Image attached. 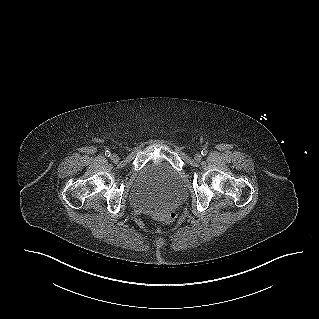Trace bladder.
Returning a JSON list of instances; mask_svg holds the SVG:
<instances>
[{
  "mask_svg": "<svg viewBox=\"0 0 319 319\" xmlns=\"http://www.w3.org/2000/svg\"><path fill=\"white\" fill-rule=\"evenodd\" d=\"M185 195L180 174L166 162L151 161L137 174L128 200L134 208L154 210L178 204Z\"/></svg>",
  "mask_w": 319,
  "mask_h": 319,
  "instance_id": "1",
  "label": "bladder"
}]
</instances>
